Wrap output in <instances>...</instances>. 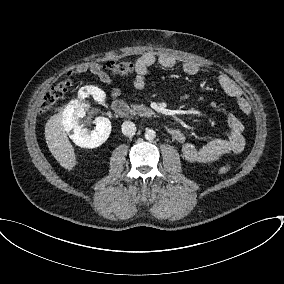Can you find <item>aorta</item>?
I'll return each instance as SVG.
<instances>
[{
	"instance_id": "aorta-1",
	"label": "aorta",
	"mask_w": 284,
	"mask_h": 284,
	"mask_svg": "<svg viewBox=\"0 0 284 284\" xmlns=\"http://www.w3.org/2000/svg\"><path fill=\"white\" fill-rule=\"evenodd\" d=\"M156 137V132L153 129H147L145 131V138L147 140H153Z\"/></svg>"
}]
</instances>
